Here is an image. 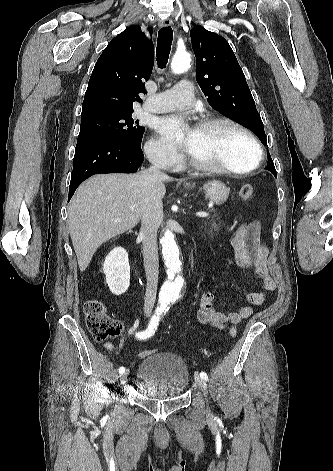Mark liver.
<instances>
[{"label": "liver", "mask_w": 333, "mask_h": 471, "mask_svg": "<svg viewBox=\"0 0 333 471\" xmlns=\"http://www.w3.org/2000/svg\"><path fill=\"white\" fill-rule=\"evenodd\" d=\"M166 181L172 178L148 171L98 174L77 189L68 207V224L82 272L103 243L139 223L146 202H162Z\"/></svg>", "instance_id": "1"}]
</instances>
